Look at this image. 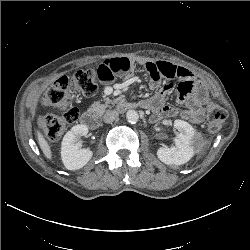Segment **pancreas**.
<instances>
[{"label":"pancreas","mask_w":250,"mask_h":250,"mask_svg":"<svg viewBox=\"0 0 250 250\" xmlns=\"http://www.w3.org/2000/svg\"><path fill=\"white\" fill-rule=\"evenodd\" d=\"M116 103V100H111L109 98L105 99V104H101L100 102H95L91 105L93 111L97 112L98 114H103L107 107L112 108Z\"/></svg>","instance_id":"cf45deb5"}]
</instances>
